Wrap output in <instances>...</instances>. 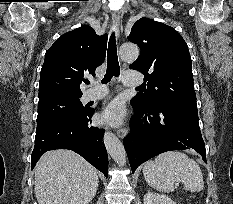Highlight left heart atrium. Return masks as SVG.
Wrapping results in <instances>:
<instances>
[{"instance_id": "obj_1", "label": "left heart atrium", "mask_w": 233, "mask_h": 204, "mask_svg": "<svg viewBox=\"0 0 233 204\" xmlns=\"http://www.w3.org/2000/svg\"><path fill=\"white\" fill-rule=\"evenodd\" d=\"M125 117V110L123 104L116 100L106 106L101 114L102 121L111 125L120 124Z\"/></svg>"}]
</instances>
